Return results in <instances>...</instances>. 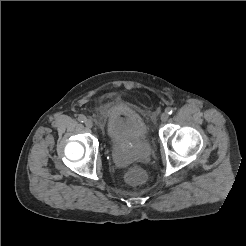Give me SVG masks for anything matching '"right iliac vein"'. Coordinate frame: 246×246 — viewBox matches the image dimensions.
<instances>
[{
	"mask_svg": "<svg viewBox=\"0 0 246 246\" xmlns=\"http://www.w3.org/2000/svg\"><path fill=\"white\" fill-rule=\"evenodd\" d=\"M84 124L86 125V127L91 128L93 126V121L91 119H86L84 121Z\"/></svg>",
	"mask_w": 246,
	"mask_h": 246,
	"instance_id": "1",
	"label": "right iliac vein"
}]
</instances>
